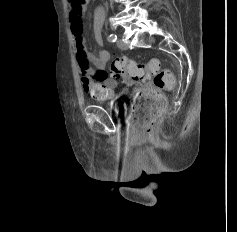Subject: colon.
Segmentation results:
<instances>
[{
    "instance_id": "5ec220e1",
    "label": "colon",
    "mask_w": 237,
    "mask_h": 232,
    "mask_svg": "<svg viewBox=\"0 0 237 232\" xmlns=\"http://www.w3.org/2000/svg\"><path fill=\"white\" fill-rule=\"evenodd\" d=\"M68 1L71 7L77 10H81L88 2V0ZM110 72L116 78L129 77L144 83L133 100L132 121L140 131L150 133L165 108V99L161 91L173 87L174 76L170 71L161 70L157 59L138 63L123 56L113 59Z\"/></svg>"
}]
</instances>
